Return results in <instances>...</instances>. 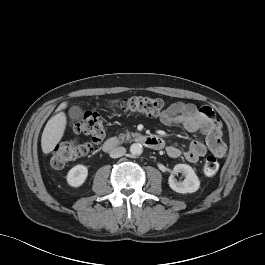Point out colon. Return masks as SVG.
<instances>
[{
    "label": "colon",
    "instance_id": "5ec220e1",
    "mask_svg": "<svg viewBox=\"0 0 265 265\" xmlns=\"http://www.w3.org/2000/svg\"><path fill=\"white\" fill-rule=\"evenodd\" d=\"M124 110L147 116H159L165 111V102L159 98L135 96L123 100ZM74 132L89 137V141L79 142L70 140L58 144L50 158V165L54 169L63 168L78 157L89 154L95 145L100 143L105 136V121L96 112H85L82 117L73 123ZM219 170L218 159L210 155L203 163V171L206 176H214Z\"/></svg>",
    "mask_w": 265,
    "mask_h": 265
}]
</instances>
